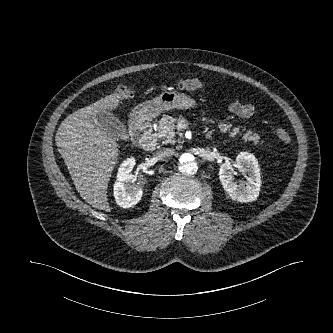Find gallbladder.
Returning a JSON list of instances; mask_svg holds the SVG:
<instances>
[{
  "instance_id": "bac80fb5",
  "label": "gallbladder",
  "mask_w": 333,
  "mask_h": 333,
  "mask_svg": "<svg viewBox=\"0 0 333 333\" xmlns=\"http://www.w3.org/2000/svg\"><path fill=\"white\" fill-rule=\"evenodd\" d=\"M94 124L100 130L116 139H126L128 137L124 124L112 113L99 110L94 114Z\"/></svg>"
}]
</instances>
